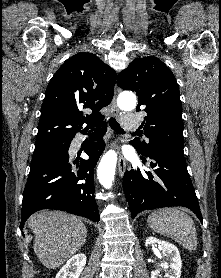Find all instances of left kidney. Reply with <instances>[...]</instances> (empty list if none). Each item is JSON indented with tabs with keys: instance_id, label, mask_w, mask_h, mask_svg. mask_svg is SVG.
Here are the masks:
<instances>
[{
	"instance_id": "left-kidney-1",
	"label": "left kidney",
	"mask_w": 221,
	"mask_h": 278,
	"mask_svg": "<svg viewBox=\"0 0 221 278\" xmlns=\"http://www.w3.org/2000/svg\"><path fill=\"white\" fill-rule=\"evenodd\" d=\"M158 244L159 250L163 255L169 258V262L166 264L170 269L165 274L164 278H180L182 261L178 248L167 241L159 240L154 237H148L145 241V246H154ZM151 278H162L158 270L151 272Z\"/></svg>"
}]
</instances>
